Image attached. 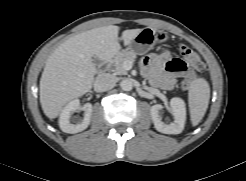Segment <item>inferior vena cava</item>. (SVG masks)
I'll use <instances>...</instances> for the list:
<instances>
[{"label": "inferior vena cava", "instance_id": "obj_1", "mask_svg": "<svg viewBox=\"0 0 246 181\" xmlns=\"http://www.w3.org/2000/svg\"><path fill=\"white\" fill-rule=\"evenodd\" d=\"M116 85V78L111 74H100L97 76L94 89L98 92L112 89Z\"/></svg>", "mask_w": 246, "mask_h": 181}]
</instances>
